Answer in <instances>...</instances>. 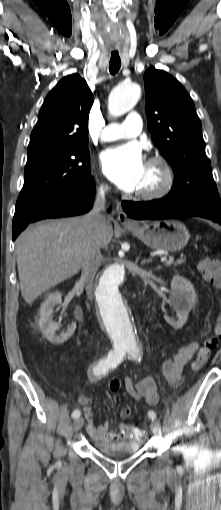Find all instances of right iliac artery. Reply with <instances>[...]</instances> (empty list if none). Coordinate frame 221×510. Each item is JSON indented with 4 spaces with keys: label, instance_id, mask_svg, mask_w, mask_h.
<instances>
[{
    "label": "right iliac artery",
    "instance_id": "1",
    "mask_svg": "<svg viewBox=\"0 0 221 510\" xmlns=\"http://www.w3.org/2000/svg\"><path fill=\"white\" fill-rule=\"evenodd\" d=\"M124 352L120 350H110L108 355L104 358H101L98 363L93 367L94 375H104L109 370L114 369L120 364L123 360ZM80 410H74L72 413V418L76 419L80 417Z\"/></svg>",
    "mask_w": 221,
    "mask_h": 510
}]
</instances>
